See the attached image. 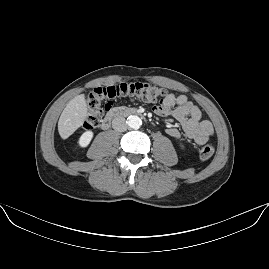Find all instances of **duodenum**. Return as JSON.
<instances>
[{
  "label": "duodenum",
  "instance_id": "410a0bca",
  "mask_svg": "<svg viewBox=\"0 0 269 269\" xmlns=\"http://www.w3.org/2000/svg\"><path fill=\"white\" fill-rule=\"evenodd\" d=\"M140 112L135 108L129 107H115L111 109L104 119L101 122V127L103 129H108L112 123V121L116 118L127 117L132 115H139Z\"/></svg>",
  "mask_w": 269,
  "mask_h": 269
}]
</instances>
